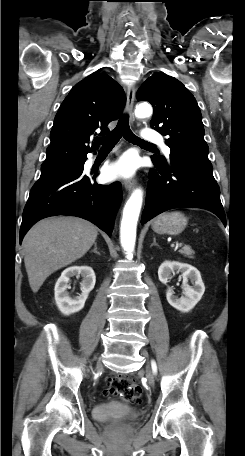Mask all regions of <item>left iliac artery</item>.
<instances>
[{"mask_svg":"<svg viewBox=\"0 0 245 456\" xmlns=\"http://www.w3.org/2000/svg\"><path fill=\"white\" fill-rule=\"evenodd\" d=\"M151 364H152L153 372L156 373L157 372V366H156L155 361H152Z\"/></svg>","mask_w":245,"mask_h":456,"instance_id":"1","label":"left iliac artery"}]
</instances>
